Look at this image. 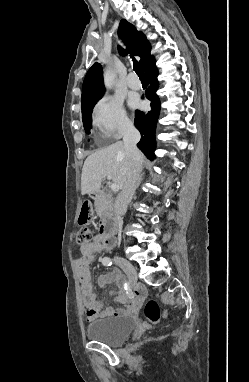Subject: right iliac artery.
I'll return each mask as SVG.
<instances>
[{"mask_svg": "<svg viewBox=\"0 0 249 382\" xmlns=\"http://www.w3.org/2000/svg\"><path fill=\"white\" fill-rule=\"evenodd\" d=\"M103 265L105 266H111L112 265V260L109 257H104L102 260Z\"/></svg>", "mask_w": 249, "mask_h": 382, "instance_id": "obj_1", "label": "right iliac artery"}]
</instances>
